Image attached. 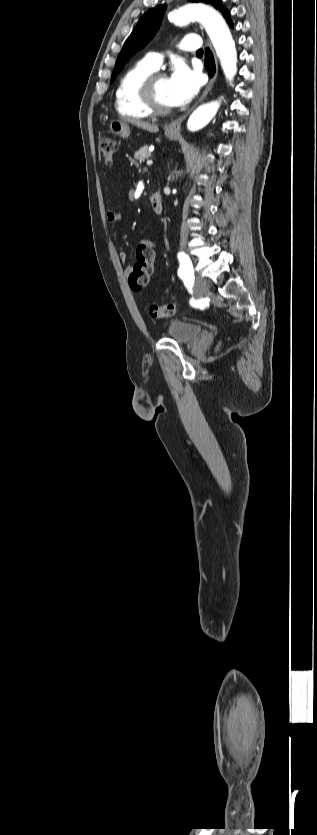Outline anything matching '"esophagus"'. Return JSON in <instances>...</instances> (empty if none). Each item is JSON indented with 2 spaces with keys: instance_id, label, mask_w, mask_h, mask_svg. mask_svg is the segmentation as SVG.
Segmentation results:
<instances>
[{
  "instance_id": "1",
  "label": "esophagus",
  "mask_w": 317,
  "mask_h": 835,
  "mask_svg": "<svg viewBox=\"0 0 317 835\" xmlns=\"http://www.w3.org/2000/svg\"><path fill=\"white\" fill-rule=\"evenodd\" d=\"M208 46L210 47V44H209V43H208ZM215 80H216V73H215V74H214V75H213V76L209 79V82H208L207 86L205 87V89H204L203 93H202V94H201V96L199 97L198 101H197V102L193 105V107H192V108H191V109H190V110H189L186 114H184L183 116H181V117L177 118L176 120L172 121L171 123H169V124L166 126V130H167V131H169V132H174V133H177V132H179V131H180V129H181V123L183 122V120H184V119H186V117L190 114V112H191L194 108H196V106H197L200 102H202V101L204 100V98H205V97L208 95V93L212 90V88H213V86H214V83H215Z\"/></svg>"
}]
</instances>
